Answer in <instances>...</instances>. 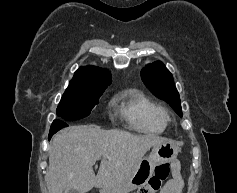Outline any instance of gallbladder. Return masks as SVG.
<instances>
[{"instance_id": "obj_1", "label": "gallbladder", "mask_w": 237, "mask_h": 193, "mask_svg": "<svg viewBox=\"0 0 237 193\" xmlns=\"http://www.w3.org/2000/svg\"><path fill=\"white\" fill-rule=\"evenodd\" d=\"M68 193H79L77 190H75V189H70L69 191H68Z\"/></svg>"}]
</instances>
